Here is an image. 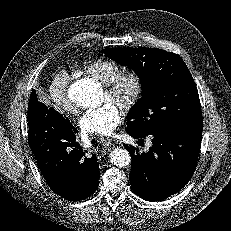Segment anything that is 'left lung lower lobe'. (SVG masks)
Segmentation results:
<instances>
[{
  "label": "left lung lower lobe",
  "mask_w": 231,
  "mask_h": 231,
  "mask_svg": "<svg viewBox=\"0 0 231 231\" xmlns=\"http://www.w3.org/2000/svg\"><path fill=\"white\" fill-rule=\"evenodd\" d=\"M125 131L134 138L151 135L152 147L139 153L125 145L132 157L130 181L133 191L146 201H160L179 192L191 179L200 152L202 125L172 132L141 135Z\"/></svg>",
  "instance_id": "0a47b994"
}]
</instances>
